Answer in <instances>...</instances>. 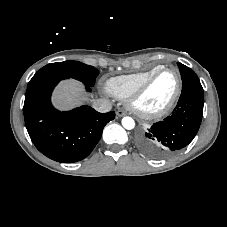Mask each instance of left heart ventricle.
<instances>
[{"label": "left heart ventricle", "mask_w": 227, "mask_h": 227, "mask_svg": "<svg viewBox=\"0 0 227 227\" xmlns=\"http://www.w3.org/2000/svg\"><path fill=\"white\" fill-rule=\"evenodd\" d=\"M177 86V77L173 71L160 74L138 102L139 108L155 111L164 107L172 98Z\"/></svg>", "instance_id": "obj_1"}]
</instances>
